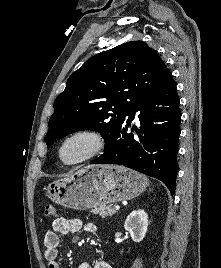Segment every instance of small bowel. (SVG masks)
<instances>
[{
	"label": "small bowel",
	"mask_w": 221,
	"mask_h": 268,
	"mask_svg": "<svg viewBox=\"0 0 221 268\" xmlns=\"http://www.w3.org/2000/svg\"><path fill=\"white\" fill-rule=\"evenodd\" d=\"M84 229L87 233L96 234L98 231L94 223H83L81 219H67L58 217L52 222V230L48 231L44 237V257L48 262V268H61L58 261L59 234L65 235L77 233ZM78 268H112L105 260H99L92 264L82 262Z\"/></svg>",
	"instance_id": "c3829d8e"
}]
</instances>
